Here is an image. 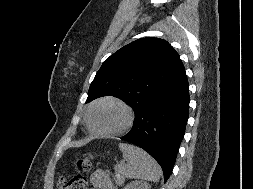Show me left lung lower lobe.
<instances>
[{
  "label": "left lung lower lobe",
  "instance_id": "left-lung-lower-lobe-1",
  "mask_svg": "<svg viewBox=\"0 0 253 189\" xmlns=\"http://www.w3.org/2000/svg\"><path fill=\"white\" fill-rule=\"evenodd\" d=\"M189 116V89L185 69L158 96L136 114L131 131L122 140L146 150L169 178Z\"/></svg>",
  "mask_w": 253,
  "mask_h": 189
}]
</instances>
